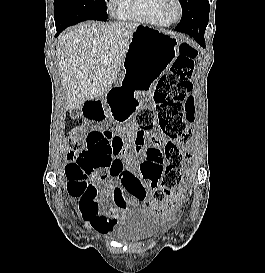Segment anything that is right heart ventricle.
<instances>
[{
    "mask_svg": "<svg viewBox=\"0 0 265 273\" xmlns=\"http://www.w3.org/2000/svg\"><path fill=\"white\" fill-rule=\"evenodd\" d=\"M161 2L162 0H119L117 15L121 19L166 27L170 22L161 14Z\"/></svg>",
    "mask_w": 265,
    "mask_h": 273,
    "instance_id": "e07e8e85",
    "label": "right heart ventricle"
}]
</instances>
